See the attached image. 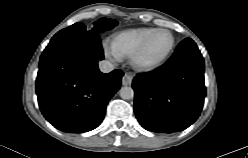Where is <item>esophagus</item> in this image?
Masks as SVG:
<instances>
[{"label": "esophagus", "mask_w": 248, "mask_h": 158, "mask_svg": "<svg viewBox=\"0 0 248 158\" xmlns=\"http://www.w3.org/2000/svg\"><path fill=\"white\" fill-rule=\"evenodd\" d=\"M132 80H133V76L126 73L123 78H122V84L123 85H131L132 83Z\"/></svg>", "instance_id": "obj_1"}]
</instances>
